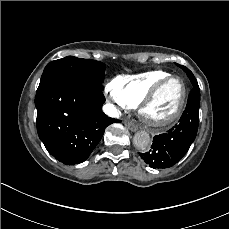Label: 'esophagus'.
I'll return each instance as SVG.
<instances>
[{
	"instance_id": "obj_1",
	"label": "esophagus",
	"mask_w": 229,
	"mask_h": 229,
	"mask_svg": "<svg viewBox=\"0 0 229 229\" xmlns=\"http://www.w3.org/2000/svg\"><path fill=\"white\" fill-rule=\"evenodd\" d=\"M124 124L130 131H132V132L137 131V126L134 123H132L130 121H124Z\"/></svg>"
}]
</instances>
